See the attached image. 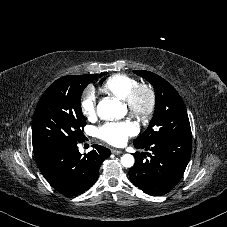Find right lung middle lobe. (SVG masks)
Masks as SVG:
<instances>
[{"instance_id":"1","label":"right lung middle lobe","mask_w":227,"mask_h":227,"mask_svg":"<svg viewBox=\"0 0 227 227\" xmlns=\"http://www.w3.org/2000/svg\"><path fill=\"white\" fill-rule=\"evenodd\" d=\"M102 74L65 76L50 85L41 96L33 118V151L54 144H74L82 140L86 120L81 111V94Z\"/></svg>"}]
</instances>
